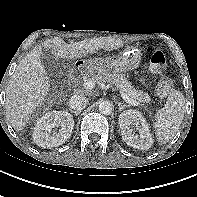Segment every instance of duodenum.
Returning <instances> with one entry per match:
<instances>
[{"instance_id":"1","label":"duodenum","mask_w":197,"mask_h":197,"mask_svg":"<svg viewBox=\"0 0 197 197\" xmlns=\"http://www.w3.org/2000/svg\"><path fill=\"white\" fill-rule=\"evenodd\" d=\"M82 71H83V68H82V67L76 66V67L72 70V72H71V74H70L71 81H72V82H76V81L79 79V77H80Z\"/></svg>"}]
</instances>
